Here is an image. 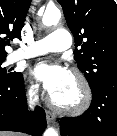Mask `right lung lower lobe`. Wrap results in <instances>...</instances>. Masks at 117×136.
<instances>
[{
    "mask_svg": "<svg viewBox=\"0 0 117 136\" xmlns=\"http://www.w3.org/2000/svg\"><path fill=\"white\" fill-rule=\"evenodd\" d=\"M45 127V111L39 106L33 112L27 109L23 76L0 81V130L40 136Z\"/></svg>",
    "mask_w": 117,
    "mask_h": 136,
    "instance_id": "right-lung-lower-lobe-1",
    "label": "right lung lower lobe"
}]
</instances>
